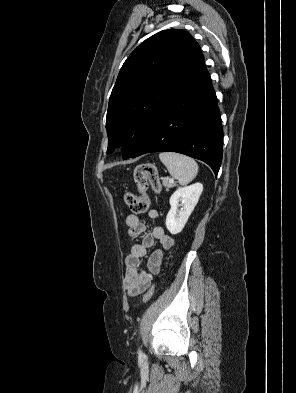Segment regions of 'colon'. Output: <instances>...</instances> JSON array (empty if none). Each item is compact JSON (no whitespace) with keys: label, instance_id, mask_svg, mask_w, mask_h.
Wrapping results in <instances>:
<instances>
[{"label":"colon","instance_id":"colon-1","mask_svg":"<svg viewBox=\"0 0 296 393\" xmlns=\"http://www.w3.org/2000/svg\"><path fill=\"white\" fill-rule=\"evenodd\" d=\"M134 181L139 191V195L131 192L124 194V201L132 213L142 214L148 211L150 199L147 194L151 186L155 193H160L161 182L154 165L149 163L139 164L134 171ZM155 292V286H151L143 295V301L148 302Z\"/></svg>","mask_w":296,"mask_h":393}]
</instances>
